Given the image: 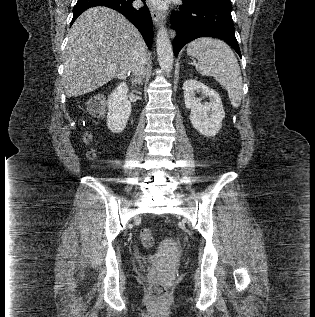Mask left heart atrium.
I'll return each instance as SVG.
<instances>
[{"label": "left heart atrium", "instance_id": "39dd6f15", "mask_svg": "<svg viewBox=\"0 0 315 317\" xmlns=\"http://www.w3.org/2000/svg\"><path fill=\"white\" fill-rule=\"evenodd\" d=\"M168 0H148V2L156 7H165Z\"/></svg>", "mask_w": 315, "mask_h": 317}]
</instances>
